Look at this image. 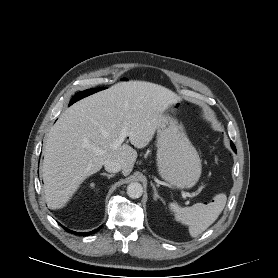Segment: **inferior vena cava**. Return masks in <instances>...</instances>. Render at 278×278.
Returning a JSON list of instances; mask_svg holds the SVG:
<instances>
[{"label":"inferior vena cava","instance_id":"602c4592","mask_svg":"<svg viewBox=\"0 0 278 278\" xmlns=\"http://www.w3.org/2000/svg\"><path fill=\"white\" fill-rule=\"evenodd\" d=\"M105 170L111 173H117L122 170V165L117 161H106L104 164Z\"/></svg>","mask_w":278,"mask_h":278}]
</instances>
